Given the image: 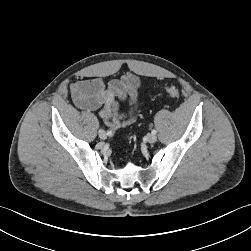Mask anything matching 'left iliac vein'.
Returning <instances> with one entry per match:
<instances>
[{
  "label": "left iliac vein",
  "instance_id": "4c4485c4",
  "mask_svg": "<svg viewBox=\"0 0 251 251\" xmlns=\"http://www.w3.org/2000/svg\"><path fill=\"white\" fill-rule=\"evenodd\" d=\"M147 141L149 142V143H155L156 142V140H157V137H156V135L155 134H148L147 135Z\"/></svg>",
  "mask_w": 251,
  "mask_h": 251
}]
</instances>
